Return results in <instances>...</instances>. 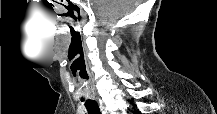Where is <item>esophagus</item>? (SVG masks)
I'll return each mask as SVG.
<instances>
[{
	"label": "esophagus",
	"mask_w": 217,
	"mask_h": 114,
	"mask_svg": "<svg viewBox=\"0 0 217 114\" xmlns=\"http://www.w3.org/2000/svg\"><path fill=\"white\" fill-rule=\"evenodd\" d=\"M98 99V102H99V105H100V109L101 111L103 112L104 111V108H103V101L101 98H97Z\"/></svg>",
	"instance_id": "1"
}]
</instances>
